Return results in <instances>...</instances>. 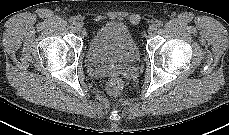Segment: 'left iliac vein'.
<instances>
[{"label":"left iliac vein","mask_w":229,"mask_h":135,"mask_svg":"<svg viewBox=\"0 0 229 135\" xmlns=\"http://www.w3.org/2000/svg\"><path fill=\"white\" fill-rule=\"evenodd\" d=\"M158 27L156 24H151L148 28V34L149 35H154L157 31Z\"/></svg>","instance_id":"left-iliac-vein-1"}]
</instances>
